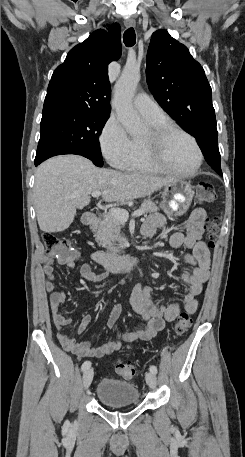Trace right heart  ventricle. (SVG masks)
Masks as SVG:
<instances>
[{
	"label": "right heart ventricle",
	"instance_id": "right-heart-ventricle-1",
	"mask_svg": "<svg viewBox=\"0 0 245 457\" xmlns=\"http://www.w3.org/2000/svg\"><path fill=\"white\" fill-rule=\"evenodd\" d=\"M148 122L153 126L169 121L164 116H161L156 119H149ZM139 139L140 138L138 137L132 139V145L129 154L121 162L118 163V166L125 170L153 171V169L144 162L140 155Z\"/></svg>",
	"mask_w": 245,
	"mask_h": 457
}]
</instances>
